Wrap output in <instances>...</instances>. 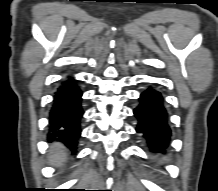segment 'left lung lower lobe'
<instances>
[{"label": "left lung lower lobe", "mask_w": 218, "mask_h": 191, "mask_svg": "<svg viewBox=\"0 0 218 191\" xmlns=\"http://www.w3.org/2000/svg\"><path fill=\"white\" fill-rule=\"evenodd\" d=\"M134 109L138 119L136 131L142 133L152 152H164L168 146L171 130L167 124V112L161 94L149 88L139 98Z\"/></svg>", "instance_id": "obj_1"}]
</instances>
